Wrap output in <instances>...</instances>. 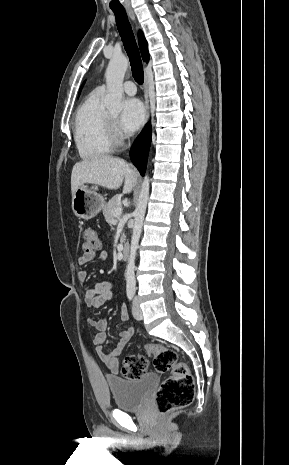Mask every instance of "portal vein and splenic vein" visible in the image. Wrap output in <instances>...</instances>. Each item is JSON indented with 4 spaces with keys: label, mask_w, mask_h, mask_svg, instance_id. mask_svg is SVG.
Listing matches in <instances>:
<instances>
[{
    "label": "portal vein and splenic vein",
    "mask_w": 289,
    "mask_h": 465,
    "mask_svg": "<svg viewBox=\"0 0 289 465\" xmlns=\"http://www.w3.org/2000/svg\"><path fill=\"white\" fill-rule=\"evenodd\" d=\"M121 213H122V209H121V208L115 210L114 213H113V218H115V219H116V218H119V216L121 215Z\"/></svg>",
    "instance_id": "1"
}]
</instances>
